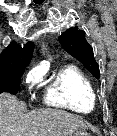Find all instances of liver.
Masks as SVG:
<instances>
[{"instance_id":"6515ba94","label":"liver","mask_w":117,"mask_h":136,"mask_svg":"<svg viewBox=\"0 0 117 136\" xmlns=\"http://www.w3.org/2000/svg\"><path fill=\"white\" fill-rule=\"evenodd\" d=\"M87 124L77 115L45 108L26 112L16 97L0 94V136H71Z\"/></svg>"}]
</instances>
